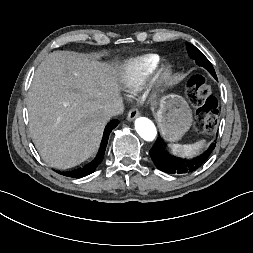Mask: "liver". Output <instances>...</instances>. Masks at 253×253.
I'll return each mask as SVG.
<instances>
[{"instance_id": "6515ba94", "label": "liver", "mask_w": 253, "mask_h": 253, "mask_svg": "<svg viewBox=\"0 0 253 253\" xmlns=\"http://www.w3.org/2000/svg\"><path fill=\"white\" fill-rule=\"evenodd\" d=\"M117 70L73 51H54L38 66L26 99L29 133L43 160L67 169L94 154L120 97Z\"/></svg>"}]
</instances>
